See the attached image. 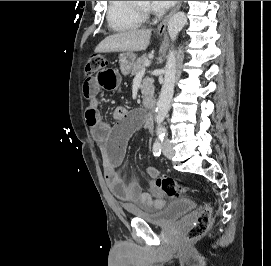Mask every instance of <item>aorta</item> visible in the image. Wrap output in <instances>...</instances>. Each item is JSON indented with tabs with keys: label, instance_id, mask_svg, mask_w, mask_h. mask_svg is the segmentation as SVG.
<instances>
[{
	"label": "aorta",
	"instance_id": "obj_1",
	"mask_svg": "<svg viewBox=\"0 0 271 266\" xmlns=\"http://www.w3.org/2000/svg\"><path fill=\"white\" fill-rule=\"evenodd\" d=\"M187 23V16L184 12L174 14L168 22V34L172 42L177 39L179 32ZM176 81V56L174 50H170L167 56V62L164 67V81L161 93L156 104L155 122L157 124L156 134L161 138L165 134V128L162 123L170 109L171 100L174 93Z\"/></svg>",
	"mask_w": 271,
	"mask_h": 266
}]
</instances>
